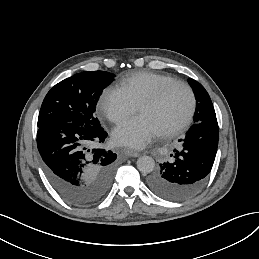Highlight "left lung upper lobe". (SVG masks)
Masks as SVG:
<instances>
[{
  "mask_svg": "<svg viewBox=\"0 0 259 259\" xmlns=\"http://www.w3.org/2000/svg\"><path fill=\"white\" fill-rule=\"evenodd\" d=\"M188 81L194 91L195 98L197 101L194 124L204 121L217 120L215 110L208 92L196 80L190 78Z\"/></svg>",
  "mask_w": 259,
  "mask_h": 259,
  "instance_id": "obj_1",
  "label": "left lung upper lobe"
}]
</instances>
